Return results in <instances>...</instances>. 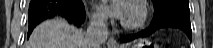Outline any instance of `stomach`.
I'll list each match as a JSON object with an SVG mask.
<instances>
[{
  "label": "stomach",
  "mask_w": 213,
  "mask_h": 48,
  "mask_svg": "<svg viewBox=\"0 0 213 48\" xmlns=\"http://www.w3.org/2000/svg\"><path fill=\"white\" fill-rule=\"evenodd\" d=\"M167 30H161L160 33H165ZM145 47H153V48H160L158 44H152L147 41H141L137 44L132 45L131 47H125V48H145Z\"/></svg>",
  "instance_id": "stomach-1"
}]
</instances>
